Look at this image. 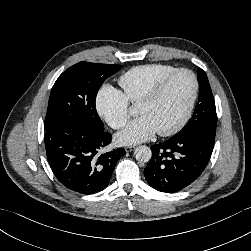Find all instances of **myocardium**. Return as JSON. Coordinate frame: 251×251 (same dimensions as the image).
I'll return each mask as SVG.
<instances>
[{
    "label": "myocardium",
    "instance_id": "1",
    "mask_svg": "<svg viewBox=\"0 0 251 251\" xmlns=\"http://www.w3.org/2000/svg\"><path fill=\"white\" fill-rule=\"evenodd\" d=\"M182 73L188 74L193 80L192 96L187 106V109L182 118L179 120V122L170 129L164 131H157V134L161 137H168L178 133L185 127V125L191 118L199 94V81L196 74L193 71L186 68L176 69L175 71H173L172 73L161 79L158 83H156L151 88V90L138 102V105L139 104L146 105L153 103L161 95V93L164 91V89L170 83V81L174 77Z\"/></svg>",
    "mask_w": 251,
    "mask_h": 251
}]
</instances>
